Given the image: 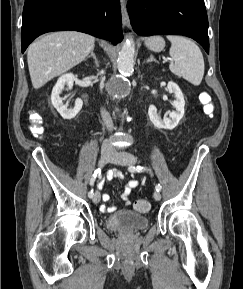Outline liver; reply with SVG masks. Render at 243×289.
<instances>
[{
	"mask_svg": "<svg viewBox=\"0 0 243 289\" xmlns=\"http://www.w3.org/2000/svg\"><path fill=\"white\" fill-rule=\"evenodd\" d=\"M94 43L93 36L77 31L54 32L33 42L27 52L33 87L39 89L81 63L94 48Z\"/></svg>",
	"mask_w": 243,
	"mask_h": 289,
	"instance_id": "liver-1",
	"label": "liver"
}]
</instances>
